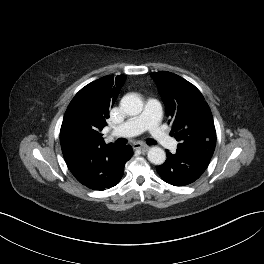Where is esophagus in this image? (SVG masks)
Listing matches in <instances>:
<instances>
[{
  "label": "esophagus",
  "instance_id": "esophagus-1",
  "mask_svg": "<svg viewBox=\"0 0 264 264\" xmlns=\"http://www.w3.org/2000/svg\"><path fill=\"white\" fill-rule=\"evenodd\" d=\"M133 149H139L141 151H148L149 146L146 144H142V143H135L133 145Z\"/></svg>",
  "mask_w": 264,
  "mask_h": 264
}]
</instances>
